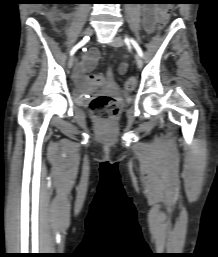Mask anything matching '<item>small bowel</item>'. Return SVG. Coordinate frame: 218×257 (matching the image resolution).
<instances>
[{
  "label": "small bowel",
  "instance_id": "1",
  "mask_svg": "<svg viewBox=\"0 0 218 257\" xmlns=\"http://www.w3.org/2000/svg\"><path fill=\"white\" fill-rule=\"evenodd\" d=\"M158 8L153 6H146L142 11L143 24L148 32H154L156 30L158 16ZM99 57V52L96 48H90L83 56L82 62L76 70V78L79 82H84L88 74H93L92 71L95 69ZM126 65L122 64L119 68L121 74L125 72ZM103 74V73H100Z\"/></svg>",
  "mask_w": 218,
  "mask_h": 257
}]
</instances>
